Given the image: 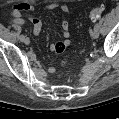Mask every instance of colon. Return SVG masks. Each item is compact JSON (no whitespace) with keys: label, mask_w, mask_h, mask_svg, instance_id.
I'll use <instances>...</instances> for the list:
<instances>
[{"label":"colon","mask_w":119,"mask_h":119,"mask_svg":"<svg viewBox=\"0 0 119 119\" xmlns=\"http://www.w3.org/2000/svg\"><path fill=\"white\" fill-rule=\"evenodd\" d=\"M103 11H104L103 6H96L92 8L91 11L89 12V18L92 21L98 20L102 16Z\"/></svg>","instance_id":"1"}]
</instances>
